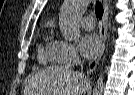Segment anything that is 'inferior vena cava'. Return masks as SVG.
Masks as SVG:
<instances>
[{
	"mask_svg": "<svg viewBox=\"0 0 135 95\" xmlns=\"http://www.w3.org/2000/svg\"><path fill=\"white\" fill-rule=\"evenodd\" d=\"M74 64H76V65H80L81 64V61H80L79 57L75 58Z\"/></svg>",
	"mask_w": 135,
	"mask_h": 95,
	"instance_id": "obj_1",
	"label": "inferior vena cava"
}]
</instances>
